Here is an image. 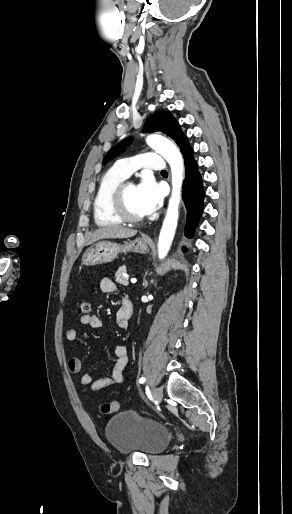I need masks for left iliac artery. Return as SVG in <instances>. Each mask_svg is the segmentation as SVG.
<instances>
[{
    "mask_svg": "<svg viewBox=\"0 0 292 514\" xmlns=\"http://www.w3.org/2000/svg\"><path fill=\"white\" fill-rule=\"evenodd\" d=\"M163 171H164V170H163ZM145 380H146V379H145L144 377H141V378L139 379V383H144V382H145Z\"/></svg>",
    "mask_w": 292,
    "mask_h": 514,
    "instance_id": "44dca946",
    "label": "left iliac artery"
}]
</instances>
